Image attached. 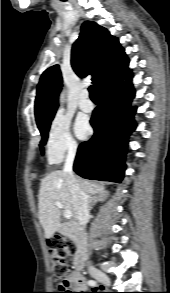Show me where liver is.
Masks as SVG:
<instances>
[{"label": "liver", "instance_id": "1", "mask_svg": "<svg viewBox=\"0 0 170 293\" xmlns=\"http://www.w3.org/2000/svg\"><path fill=\"white\" fill-rule=\"evenodd\" d=\"M76 180L86 194L105 193L103 185L79 177H76ZM55 202H60L65 210H70L76 217L72 194L66 174L62 170L51 172L41 180L40 184L38 217L46 238H51L60 227L61 213Z\"/></svg>", "mask_w": 170, "mask_h": 293}]
</instances>
